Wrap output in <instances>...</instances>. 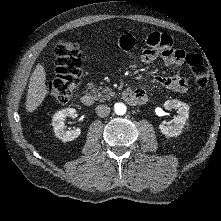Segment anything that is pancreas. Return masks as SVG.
Returning <instances> with one entry per match:
<instances>
[{"mask_svg":"<svg viewBox=\"0 0 221 221\" xmlns=\"http://www.w3.org/2000/svg\"><path fill=\"white\" fill-rule=\"evenodd\" d=\"M93 85L89 84V88L92 89ZM102 91V92H100ZM92 93L96 94V96L98 97V99L105 100L106 98H110V96H114L115 93L112 91V89L110 88H102L99 87L98 89H92L91 90Z\"/></svg>","mask_w":221,"mask_h":221,"instance_id":"1","label":"pancreas"}]
</instances>
